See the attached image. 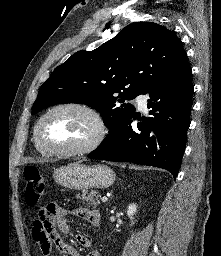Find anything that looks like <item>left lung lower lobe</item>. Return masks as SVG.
I'll use <instances>...</instances> for the list:
<instances>
[{
	"label": "left lung lower lobe",
	"mask_w": 221,
	"mask_h": 256,
	"mask_svg": "<svg viewBox=\"0 0 221 256\" xmlns=\"http://www.w3.org/2000/svg\"><path fill=\"white\" fill-rule=\"evenodd\" d=\"M191 68L186 64L179 72L155 85L147 94L152 117L137 118L138 129L131 127L135 114L109 132L88 158L131 162L169 170L176 178L186 146L190 126L193 85Z\"/></svg>",
	"instance_id": "0a47b994"
}]
</instances>
